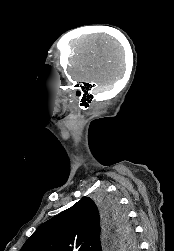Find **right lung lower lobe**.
Returning a JSON list of instances; mask_svg holds the SVG:
<instances>
[{
    "instance_id": "1",
    "label": "right lung lower lobe",
    "mask_w": 174,
    "mask_h": 251,
    "mask_svg": "<svg viewBox=\"0 0 174 251\" xmlns=\"http://www.w3.org/2000/svg\"><path fill=\"white\" fill-rule=\"evenodd\" d=\"M103 227H104V235L102 238V247H106L107 244L111 241V235L113 233V227L111 225H109L105 220L103 223ZM104 251V250H101Z\"/></svg>"
}]
</instances>
